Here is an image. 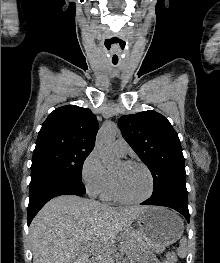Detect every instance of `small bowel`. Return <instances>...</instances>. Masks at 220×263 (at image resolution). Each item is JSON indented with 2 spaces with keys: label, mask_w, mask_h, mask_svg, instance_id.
Instances as JSON below:
<instances>
[{
  "label": "small bowel",
  "mask_w": 220,
  "mask_h": 263,
  "mask_svg": "<svg viewBox=\"0 0 220 263\" xmlns=\"http://www.w3.org/2000/svg\"><path fill=\"white\" fill-rule=\"evenodd\" d=\"M144 262L145 263H167V261L161 262L154 257H148Z\"/></svg>",
  "instance_id": "small-bowel-1"
}]
</instances>
